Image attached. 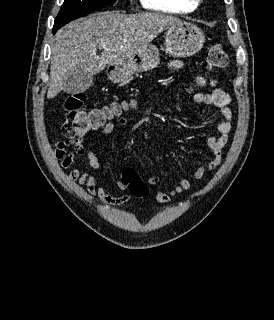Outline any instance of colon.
I'll use <instances>...</instances> for the list:
<instances>
[{"label": "colon", "instance_id": "obj_1", "mask_svg": "<svg viewBox=\"0 0 274 320\" xmlns=\"http://www.w3.org/2000/svg\"><path fill=\"white\" fill-rule=\"evenodd\" d=\"M206 61L209 69L221 70L228 64V55L219 44L209 47ZM84 95L75 93L65 99L63 104L64 117L62 134H87L94 131L97 120H113L119 116V106L112 105L106 109L85 110ZM121 182L136 197L147 195L148 187L134 168H126L121 175Z\"/></svg>", "mask_w": 274, "mask_h": 320}]
</instances>
